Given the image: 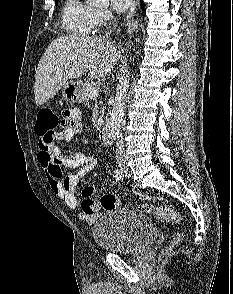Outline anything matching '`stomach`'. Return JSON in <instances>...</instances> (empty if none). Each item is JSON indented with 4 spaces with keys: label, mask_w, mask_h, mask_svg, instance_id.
Returning a JSON list of instances; mask_svg holds the SVG:
<instances>
[{
    "label": "stomach",
    "mask_w": 233,
    "mask_h": 294,
    "mask_svg": "<svg viewBox=\"0 0 233 294\" xmlns=\"http://www.w3.org/2000/svg\"><path fill=\"white\" fill-rule=\"evenodd\" d=\"M62 96L67 103H81V87L78 82L68 81L62 89Z\"/></svg>",
    "instance_id": "stomach-1"
}]
</instances>
